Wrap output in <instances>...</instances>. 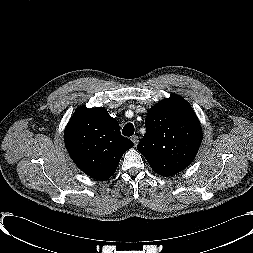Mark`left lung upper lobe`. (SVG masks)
Instances as JSON below:
<instances>
[{
	"label": "left lung upper lobe",
	"mask_w": 253,
	"mask_h": 253,
	"mask_svg": "<svg viewBox=\"0 0 253 253\" xmlns=\"http://www.w3.org/2000/svg\"><path fill=\"white\" fill-rule=\"evenodd\" d=\"M146 134L137 150L159 175L172 176L195 158L202 130L190 104L172 94L153 106L145 119Z\"/></svg>",
	"instance_id": "left-lung-upper-lobe-1"
}]
</instances>
